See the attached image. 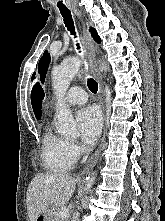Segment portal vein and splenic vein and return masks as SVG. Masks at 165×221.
I'll list each match as a JSON object with an SVG mask.
<instances>
[{
	"label": "portal vein and splenic vein",
	"instance_id": "1",
	"mask_svg": "<svg viewBox=\"0 0 165 221\" xmlns=\"http://www.w3.org/2000/svg\"><path fill=\"white\" fill-rule=\"evenodd\" d=\"M59 213H60L62 218H68L69 217V209H67L66 207L61 208L59 210Z\"/></svg>",
	"mask_w": 165,
	"mask_h": 221
}]
</instances>
